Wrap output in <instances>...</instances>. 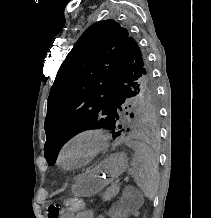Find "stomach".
Listing matches in <instances>:
<instances>
[{
  "label": "stomach",
  "instance_id": "obj_1",
  "mask_svg": "<svg viewBox=\"0 0 211 218\" xmlns=\"http://www.w3.org/2000/svg\"><path fill=\"white\" fill-rule=\"evenodd\" d=\"M128 158L123 153L110 155L92 170L75 180L74 191L78 196H92L117 179L127 168Z\"/></svg>",
  "mask_w": 211,
  "mask_h": 218
}]
</instances>
